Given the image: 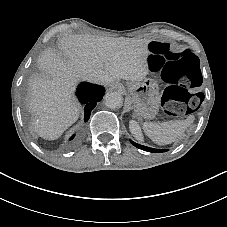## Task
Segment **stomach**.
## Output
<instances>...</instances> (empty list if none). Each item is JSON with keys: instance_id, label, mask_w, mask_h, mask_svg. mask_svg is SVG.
<instances>
[{"instance_id": "1", "label": "stomach", "mask_w": 227, "mask_h": 227, "mask_svg": "<svg viewBox=\"0 0 227 227\" xmlns=\"http://www.w3.org/2000/svg\"><path fill=\"white\" fill-rule=\"evenodd\" d=\"M128 91L136 117L147 120L156 117L160 107V96L157 85L152 79L130 82Z\"/></svg>"}]
</instances>
